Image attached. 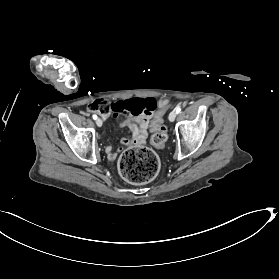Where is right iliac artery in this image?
<instances>
[{"label": "right iliac artery", "mask_w": 279, "mask_h": 279, "mask_svg": "<svg viewBox=\"0 0 279 279\" xmlns=\"http://www.w3.org/2000/svg\"><path fill=\"white\" fill-rule=\"evenodd\" d=\"M92 118L96 120V119H97V115L94 114V115L92 116Z\"/></svg>", "instance_id": "1"}]
</instances>
